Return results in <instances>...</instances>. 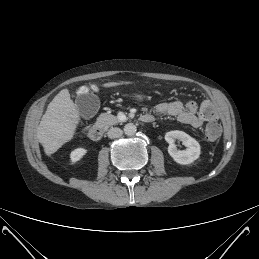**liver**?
<instances>
[{
  "instance_id": "obj_1",
  "label": "liver",
  "mask_w": 259,
  "mask_h": 259,
  "mask_svg": "<svg viewBox=\"0 0 259 259\" xmlns=\"http://www.w3.org/2000/svg\"><path fill=\"white\" fill-rule=\"evenodd\" d=\"M131 82H109L103 87H113ZM80 121L77 105L71 100L68 89L61 90L47 107L38 126L37 138L46 155L55 153L73 138Z\"/></svg>"
}]
</instances>
